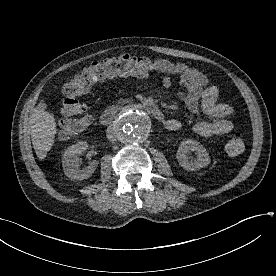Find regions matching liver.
<instances>
[{
    "instance_id": "6515ba94",
    "label": "liver",
    "mask_w": 276,
    "mask_h": 276,
    "mask_svg": "<svg viewBox=\"0 0 276 276\" xmlns=\"http://www.w3.org/2000/svg\"><path fill=\"white\" fill-rule=\"evenodd\" d=\"M46 108L44 100H41L38 107L31 111L29 119L33 148L40 160L46 158L57 133L55 117Z\"/></svg>"
}]
</instances>
